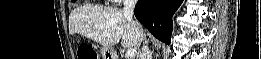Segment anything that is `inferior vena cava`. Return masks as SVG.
<instances>
[{
    "instance_id": "obj_1",
    "label": "inferior vena cava",
    "mask_w": 261,
    "mask_h": 59,
    "mask_svg": "<svg viewBox=\"0 0 261 59\" xmlns=\"http://www.w3.org/2000/svg\"><path fill=\"white\" fill-rule=\"evenodd\" d=\"M136 3H137V0H124L123 13H124V16L126 17V19L129 21H132ZM144 40H145V38L142 39V42ZM140 59H152L151 51L145 43H143V46L141 49Z\"/></svg>"
}]
</instances>
